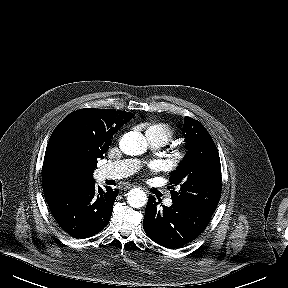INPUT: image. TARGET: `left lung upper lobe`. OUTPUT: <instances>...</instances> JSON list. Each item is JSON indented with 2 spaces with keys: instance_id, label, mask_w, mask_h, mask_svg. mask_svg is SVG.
<instances>
[{
  "instance_id": "left-lung-upper-lobe-1",
  "label": "left lung upper lobe",
  "mask_w": 288,
  "mask_h": 288,
  "mask_svg": "<svg viewBox=\"0 0 288 288\" xmlns=\"http://www.w3.org/2000/svg\"><path fill=\"white\" fill-rule=\"evenodd\" d=\"M183 134L188 151L169 178L172 201L214 213L222 188L218 150L205 127L188 116L184 119ZM175 186L180 188L178 192Z\"/></svg>"
}]
</instances>
